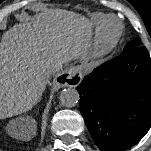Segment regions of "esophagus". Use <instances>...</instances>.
Here are the masks:
<instances>
[{
  "instance_id": "obj_1",
  "label": "esophagus",
  "mask_w": 151,
  "mask_h": 151,
  "mask_svg": "<svg viewBox=\"0 0 151 151\" xmlns=\"http://www.w3.org/2000/svg\"><path fill=\"white\" fill-rule=\"evenodd\" d=\"M82 80V73L79 67L73 66L58 74L54 80L52 88L54 91L63 87H75Z\"/></svg>"
}]
</instances>
